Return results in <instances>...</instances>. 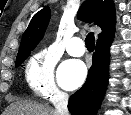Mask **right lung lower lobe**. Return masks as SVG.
<instances>
[{"label": "right lung lower lobe", "instance_id": "right-lung-lower-lobe-1", "mask_svg": "<svg viewBox=\"0 0 131 115\" xmlns=\"http://www.w3.org/2000/svg\"><path fill=\"white\" fill-rule=\"evenodd\" d=\"M112 38L97 42L87 80L69 100L68 109L72 115H96L108 84Z\"/></svg>", "mask_w": 131, "mask_h": 115}]
</instances>
